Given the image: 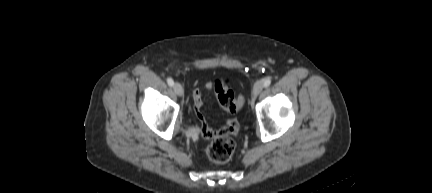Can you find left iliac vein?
Returning <instances> with one entry per match:
<instances>
[{
	"label": "left iliac vein",
	"mask_w": 432,
	"mask_h": 193,
	"mask_svg": "<svg viewBox=\"0 0 432 193\" xmlns=\"http://www.w3.org/2000/svg\"><path fill=\"white\" fill-rule=\"evenodd\" d=\"M263 88L264 82L262 80L257 81L253 88V97L256 98L262 92Z\"/></svg>",
	"instance_id": "left-iliac-vein-1"
}]
</instances>
